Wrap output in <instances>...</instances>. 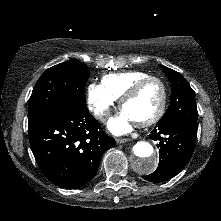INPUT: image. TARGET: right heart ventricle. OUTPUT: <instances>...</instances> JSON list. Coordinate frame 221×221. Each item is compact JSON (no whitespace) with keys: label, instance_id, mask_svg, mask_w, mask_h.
Instances as JSON below:
<instances>
[{"label":"right heart ventricle","instance_id":"obj_1","mask_svg":"<svg viewBox=\"0 0 221 221\" xmlns=\"http://www.w3.org/2000/svg\"><path fill=\"white\" fill-rule=\"evenodd\" d=\"M149 76L144 71L110 73L102 77V85L115 98L120 99L137 81Z\"/></svg>","mask_w":221,"mask_h":221}]
</instances>
